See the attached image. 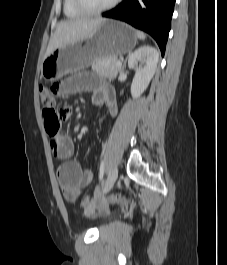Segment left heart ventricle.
<instances>
[{"mask_svg":"<svg viewBox=\"0 0 227 265\" xmlns=\"http://www.w3.org/2000/svg\"><path fill=\"white\" fill-rule=\"evenodd\" d=\"M90 8H100L109 4L112 0H83Z\"/></svg>","mask_w":227,"mask_h":265,"instance_id":"left-heart-ventricle-1","label":"left heart ventricle"}]
</instances>
